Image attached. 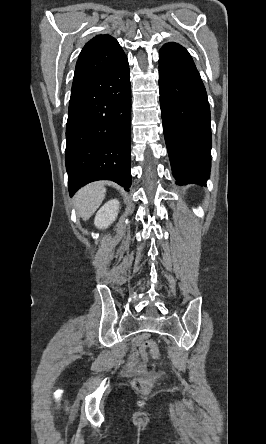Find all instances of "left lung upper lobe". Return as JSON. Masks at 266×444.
Returning a JSON list of instances; mask_svg holds the SVG:
<instances>
[{"label": "left lung upper lobe", "mask_w": 266, "mask_h": 444, "mask_svg": "<svg viewBox=\"0 0 266 444\" xmlns=\"http://www.w3.org/2000/svg\"><path fill=\"white\" fill-rule=\"evenodd\" d=\"M160 53H164L179 59H186L193 61L188 51L177 43L169 42L164 44L163 47L160 49Z\"/></svg>", "instance_id": "obj_1"}]
</instances>
